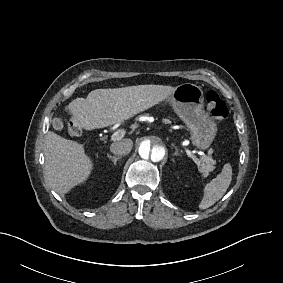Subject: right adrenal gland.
Wrapping results in <instances>:
<instances>
[{
	"label": "right adrenal gland",
	"mask_w": 283,
	"mask_h": 283,
	"mask_svg": "<svg viewBox=\"0 0 283 283\" xmlns=\"http://www.w3.org/2000/svg\"><path fill=\"white\" fill-rule=\"evenodd\" d=\"M121 157H116V158H112L109 155L107 156L108 160H111L114 164V166L116 165L117 161L120 160Z\"/></svg>",
	"instance_id": "2a0ac1e0"
}]
</instances>
